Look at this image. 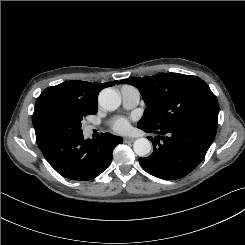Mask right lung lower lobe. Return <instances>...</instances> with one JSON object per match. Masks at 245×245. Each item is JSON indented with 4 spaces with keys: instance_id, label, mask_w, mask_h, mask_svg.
<instances>
[{
    "instance_id": "98d812e1",
    "label": "right lung lower lobe",
    "mask_w": 245,
    "mask_h": 245,
    "mask_svg": "<svg viewBox=\"0 0 245 245\" xmlns=\"http://www.w3.org/2000/svg\"><path fill=\"white\" fill-rule=\"evenodd\" d=\"M123 139L110 133L95 140L83 134L67 135L50 141L42 153L49 164L63 177L88 181L108 168L113 148Z\"/></svg>"
}]
</instances>
